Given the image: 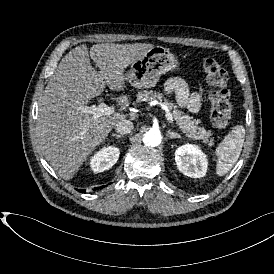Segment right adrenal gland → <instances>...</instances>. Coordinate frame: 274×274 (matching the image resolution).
<instances>
[{
    "instance_id": "right-adrenal-gland-1",
    "label": "right adrenal gland",
    "mask_w": 274,
    "mask_h": 274,
    "mask_svg": "<svg viewBox=\"0 0 274 274\" xmlns=\"http://www.w3.org/2000/svg\"><path fill=\"white\" fill-rule=\"evenodd\" d=\"M112 136H113V137H116V139H120V138L122 137L121 135H119V134H115V133H114V134H112Z\"/></svg>"
}]
</instances>
